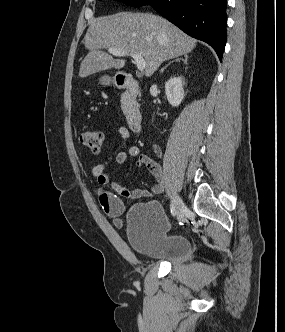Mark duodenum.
<instances>
[{
    "label": "duodenum",
    "mask_w": 285,
    "mask_h": 332,
    "mask_svg": "<svg viewBox=\"0 0 285 332\" xmlns=\"http://www.w3.org/2000/svg\"><path fill=\"white\" fill-rule=\"evenodd\" d=\"M117 84L125 90L126 98L131 103L126 115L127 124L133 132L139 133L142 130V115L137 108L132 106V102L139 95L138 82L131 74L122 73L117 78Z\"/></svg>",
    "instance_id": "obj_1"
}]
</instances>
